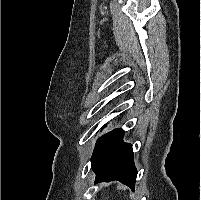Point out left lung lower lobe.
Here are the masks:
<instances>
[{
	"label": "left lung lower lobe",
	"instance_id": "obj_1",
	"mask_svg": "<svg viewBox=\"0 0 201 200\" xmlns=\"http://www.w3.org/2000/svg\"><path fill=\"white\" fill-rule=\"evenodd\" d=\"M123 137L122 129H114L97 140L91 157V167L96 173L95 184L118 180L134 190L137 170L132 145L123 142Z\"/></svg>",
	"mask_w": 201,
	"mask_h": 200
}]
</instances>
